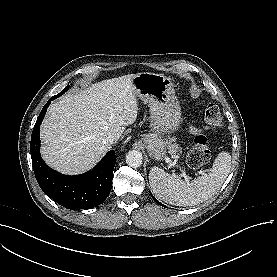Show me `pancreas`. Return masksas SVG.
<instances>
[{"label":"pancreas","instance_id":"obj_1","mask_svg":"<svg viewBox=\"0 0 277 277\" xmlns=\"http://www.w3.org/2000/svg\"><path fill=\"white\" fill-rule=\"evenodd\" d=\"M174 141H175L174 138H169V140L168 139L166 140V144L168 146L169 153L172 155H175L176 153L181 151V148L178 147L177 143H172Z\"/></svg>","mask_w":277,"mask_h":277}]
</instances>
